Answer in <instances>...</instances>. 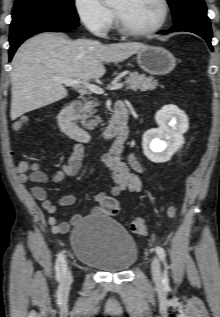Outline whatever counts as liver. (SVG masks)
<instances>
[{
    "label": "liver",
    "instance_id": "obj_1",
    "mask_svg": "<svg viewBox=\"0 0 220 317\" xmlns=\"http://www.w3.org/2000/svg\"><path fill=\"white\" fill-rule=\"evenodd\" d=\"M147 47L139 42L102 44L88 39L70 40L56 33H41L15 53L11 72L12 120L67 96L53 76L88 83L105 74L103 62H122Z\"/></svg>",
    "mask_w": 220,
    "mask_h": 317
}]
</instances>
